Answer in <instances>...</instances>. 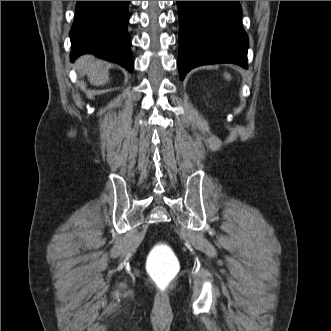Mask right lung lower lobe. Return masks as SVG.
<instances>
[{"label": "right lung lower lobe", "instance_id": "right-lung-lower-lobe-1", "mask_svg": "<svg viewBox=\"0 0 331 331\" xmlns=\"http://www.w3.org/2000/svg\"><path fill=\"white\" fill-rule=\"evenodd\" d=\"M130 1H77L70 31L73 62L82 54H95L133 71L127 31Z\"/></svg>", "mask_w": 331, "mask_h": 331}]
</instances>
